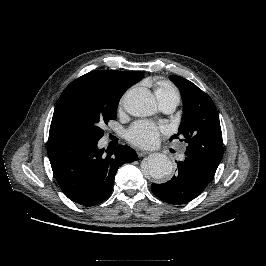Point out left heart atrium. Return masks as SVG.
I'll return each mask as SVG.
<instances>
[{
    "mask_svg": "<svg viewBox=\"0 0 266 266\" xmlns=\"http://www.w3.org/2000/svg\"><path fill=\"white\" fill-rule=\"evenodd\" d=\"M164 128L150 121L135 122L126 131L127 140L138 147L148 148L153 146Z\"/></svg>",
    "mask_w": 266,
    "mask_h": 266,
    "instance_id": "1",
    "label": "left heart atrium"
}]
</instances>
